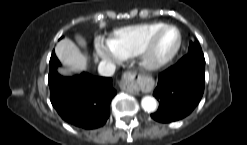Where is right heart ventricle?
<instances>
[{
  "label": "right heart ventricle",
  "mask_w": 247,
  "mask_h": 145,
  "mask_svg": "<svg viewBox=\"0 0 247 145\" xmlns=\"http://www.w3.org/2000/svg\"><path fill=\"white\" fill-rule=\"evenodd\" d=\"M162 25V22H147L123 27L115 30L107 42L121 58H131L139 53L152 32Z\"/></svg>",
  "instance_id": "right-heart-ventricle-1"
}]
</instances>
